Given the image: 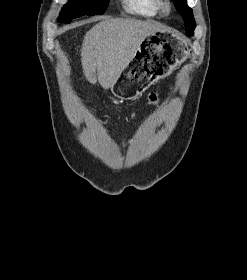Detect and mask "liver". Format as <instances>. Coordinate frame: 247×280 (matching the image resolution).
Wrapping results in <instances>:
<instances>
[{
  "label": "liver",
  "instance_id": "liver-1",
  "mask_svg": "<svg viewBox=\"0 0 247 280\" xmlns=\"http://www.w3.org/2000/svg\"><path fill=\"white\" fill-rule=\"evenodd\" d=\"M167 29L153 21L105 19L85 35L81 62L83 73L91 84L108 89L134 58L141 42L149 35Z\"/></svg>",
  "mask_w": 247,
  "mask_h": 280
}]
</instances>
